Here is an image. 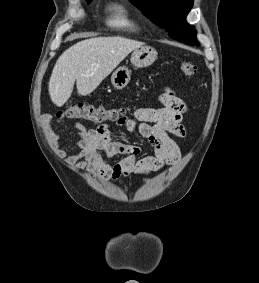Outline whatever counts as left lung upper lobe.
Returning <instances> with one entry per match:
<instances>
[{"mask_svg": "<svg viewBox=\"0 0 259 283\" xmlns=\"http://www.w3.org/2000/svg\"><path fill=\"white\" fill-rule=\"evenodd\" d=\"M148 18L169 32V36L189 45H198L195 30L186 22L193 0H130Z\"/></svg>", "mask_w": 259, "mask_h": 283, "instance_id": "left-lung-upper-lobe-1", "label": "left lung upper lobe"}]
</instances>
